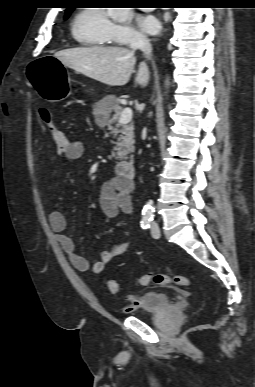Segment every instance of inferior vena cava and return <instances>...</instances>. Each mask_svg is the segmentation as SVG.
Instances as JSON below:
<instances>
[{"label": "inferior vena cava", "mask_w": 255, "mask_h": 387, "mask_svg": "<svg viewBox=\"0 0 255 387\" xmlns=\"http://www.w3.org/2000/svg\"><path fill=\"white\" fill-rule=\"evenodd\" d=\"M132 50L140 49L148 58L152 53V47L149 40L145 36H137L130 45Z\"/></svg>", "instance_id": "inferior-vena-cava-1"}]
</instances>
